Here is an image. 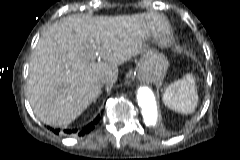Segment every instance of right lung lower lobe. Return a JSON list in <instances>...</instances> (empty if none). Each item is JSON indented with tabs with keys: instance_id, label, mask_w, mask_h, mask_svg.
Returning <instances> with one entry per match:
<instances>
[{
	"instance_id": "obj_1",
	"label": "right lung lower lobe",
	"mask_w": 240,
	"mask_h": 160,
	"mask_svg": "<svg viewBox=\"0 0 240 160\" xmlns=\"http://www.w3.org/2000/svg\"><path fill=\"white\" fill-rule=\"evenodd\" d=\"M98 121H99V117H96L93 122H91V123L88 124L86 127H84L83 129H81V130L78 132V135H79V136H83V135L89 133L91 130H93L95 124H97ZM48 128H49V127H48ZM50 129H51L54 133H57V134H58V132H59V130H57V129H52V128H50ZM64 132H65L66 134H72V133H76L77 130H76V129H74V130H69V129H68V130H64Z\"/></svg>"
}]
</instances>
